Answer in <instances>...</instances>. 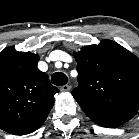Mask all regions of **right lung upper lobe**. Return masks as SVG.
<instances>
[{
    "label": "right lung upper lobe",
    "instance_id": "right-lung-upper-lobe-1",
    "mask_svg": "<svg viewBox=\"0 0 139 139\" xmlns=\"http://www.w3.org/2000/svg\"><path fill=\"white\" fill-rule=\"evenodd\" d=\"M39 56L7 47L0 52V129L29 134L46 120L58 89L37 68Z\"/></svg>",
    "mask_w": 139,
    "mask_h": 139
}]
</instances>
